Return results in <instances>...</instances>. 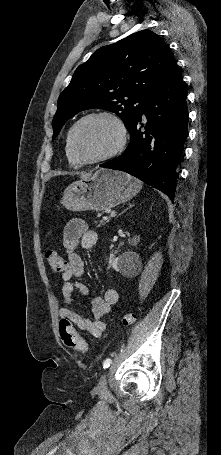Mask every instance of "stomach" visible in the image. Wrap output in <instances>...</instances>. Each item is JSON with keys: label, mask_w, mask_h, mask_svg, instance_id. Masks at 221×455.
Returning a JSON list of instances; mask_svg holds the SVG:
<instances>
[{"label": "stomach", "mask_w": 221, "mask_h": 455, "mask_svg": "<svg viewBox=\"0 0 221 455\" xmlns=\"http://www.w3.org/2000/svg\"><path fill=\"white\" fill-rule=\"evenodd\" d=\"M141 187V182L127 173L99 169L93 175L70 184L61 203L72 211H105L129 201Z\"/></svg>", "instance_id": "stomach-1"}]
</instances>
